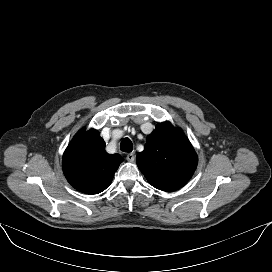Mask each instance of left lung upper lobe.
I'll return each mask as SVG.
<instances>
[{"mask_svg":"<svg viewBox=\"0 0 272 272\" xmlns=\"http://www.w3.org/2000/svg\"><path fill=\"white\" fill-rule=\"evenodd\" d=\"M136 161L152 186L169 192L189 181L198 157L182 130L174 128L170 122H163L147 136L145 150L137 155Z\"/></svg>","mask_w":272,"mask_h":272,"instance_id":"5c2ea615","label":"left lung upper lobe"}]
</instances>
